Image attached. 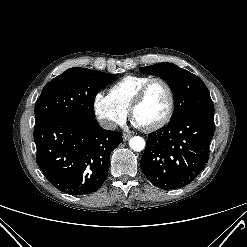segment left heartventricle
<instances>
[{"label": "left heart ventricle", "instance_id": "1", "mask_svg": "<svg viewBox=\"0 0 247 247\" xmlns=\"http://www.w3.org/2000/svg\"><path fill=\"white\" fill-rule=\"evenodd\" d=\"M169 97L165 87L155 83L149 89L143 102L136 108L134 117L144 126L158 122L166 113Z\"/></svg>", "mask_w": 247, "mask_h": 247}]
</instances>
